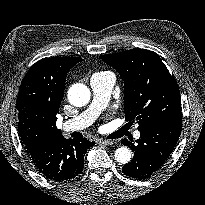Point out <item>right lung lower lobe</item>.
Wrapping results in <instances>:
<instances>
[{
  "mask_svg": "<svg viewBox=\"0 0 205 205\" xmlns=\"http://www.w3.org/2000/svg\"><path fill=\"white\" fill-rule=\"evenodd\" d=\"M94 143L80 139L51 140L27 149L38 171L54 181L75 178L84 167V155Z\"/></svg>",
  "mask_w": 205,
  "mask_h": 205,
  "instance_id": "98d812e1",
  "label": "right lung lower lobe"
}]
</instances>
